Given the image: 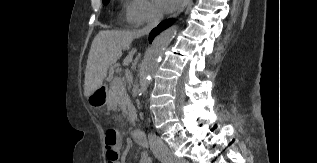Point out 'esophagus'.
<instances>
[{
    "mask_svg": "<svg viewBox=\"0 0 317 163\" xmlns=\"http://www.w3.org/2000/svg\"><path fill=\"white\" fill-rule=\"evenodd\" d=\"M192 0H183V3L181 5V7L179 8V10L173 15V17H177L178 15H180L190 4Z\"/></svg>",
    "mask_w": 317,
    "mask_h": 163,
    "instance_id": "1",
    "label": "esophagus"
}]
</instances>
